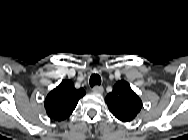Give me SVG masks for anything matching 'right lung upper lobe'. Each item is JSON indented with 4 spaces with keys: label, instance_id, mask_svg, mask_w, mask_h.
Listing matches in <instances>:
<instances>
[{
    "label": "right lung upper lobe",
    "instance_id": "obj_1",
    "mask_svg": "<svg viewBox=\"0 0 188 140\" xmlns=\"http://www.w3.org/2000/svg\"><path fill=\"white\" fill-rule=\"evenodd\" d=\"M85 94L83 88L76 89L72 81L63 80L45 99L44 105L48 116L55 121L68 118Z\"/></svg>",
    "mask_w": 188,
    "mask_h": 140
}]
</instances>
